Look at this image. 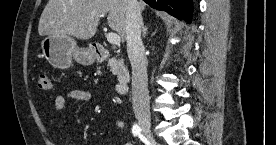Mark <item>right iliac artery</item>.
Here are the masks:
<instances>
[{
	"label": "right iliac artery",
	"mask_w": 276,
	"mask_h": 145,
	"mask_svg": "<svg viewBox=\"0 0 276 145\" xmlns=\"http://www.w3.org/2000/svg\"><path fill=\"white\" fill-rule=\"evenodd\" d=\"M132 133L134 136H138L141 134V128L138 124H134L132 127Z\"/></svg>",
	"instance_id": "1"
}]
</instances>
